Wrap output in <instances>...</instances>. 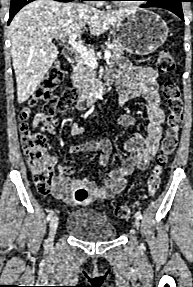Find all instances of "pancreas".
<instances>
[{
	"label": "pancreas",
	"instance_id": "pancreas-1",
	"mask_svg": "<svg viewBox=\"0 0 193 287\" xmlns=\"http://www.w3.org/2000/svg\"><path fill=\"white\" fill-rule=\"evenodd\" d=\"M107 46L110 47L112 51V58H121L124 54V47L120 43H108ZM71 79L73 85L78 89V91L83 95H88L90 89L95 82V70L87 65L83 58L80 56L77 60L75 66H73Z\"/></svg>",
	"mask_w": 193,
	"mask_h": 287
}]
</instances>
